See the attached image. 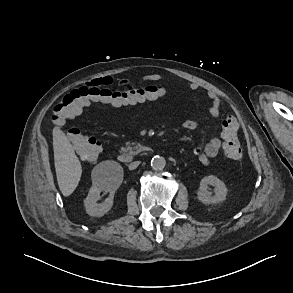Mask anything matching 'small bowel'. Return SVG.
Returning a JSON list of instances; mask_svg holds the SVG:
<instances>
[{"mask_svg": "<svg viewBox=\"0 0 293 293\" xmlns=\"http://www.w3.org/2000/svg\"><path fill=\"white\" fill-rule=\"evenodd\" d=\"M162 79H163V77L159 74H150V75H147L144 77V81H149V82H156V81H160ZM93 82L110 83L111 79L109 77H101V78L93 80L92 83ZM129 82L130 81H128V80H123L120 83L122 85H126ZM152 86H154L155 88H157V90H159L158 95L147 98V99H142L140 101H135V102L123 104V105L112 104V106H114V107L127 106V105L134 106V105L146 102V101L156 100L165 94V89L162 86H160V85H152ZM188 86L191 90H198L199 89V85L195 82H190L188 84ZM206 94H207V97L212 101L211 105L209 106V113L212 117L217 118L221 114V100H220L218 94L213 90H207ZM88 106H90V105H87L86 107H88ZM183 126H184V128H186L188 130H195L198 128L199 124L194 119H186L183 122ZM221 147H222L221 140L217 137H213L207 142V144L205 145L204 148L195 147L192 152H193V155L202 164H208L211 159L215 158L219 154Z\"/></svg>", "mask_w": 293, "mask_h": 293, "instance_id": "small-bowel-1", "label": "small bowel"}]
</instances>
